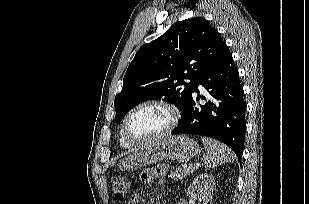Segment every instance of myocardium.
Listing matches in <instances>:
<instances>
[{"instance_id":"1","label":"myocardium","mask_w":309,"mask_h":204,"mask_svg":"<svg viewBox=\"0 0 309 204\" xmlns=\"http://www.w3.org/2000/svg\"><path fill=\"white\" fill-rule=\"evenodd\" d=\"M147 106H159L164 108L168 113H169V122L167 124V126L159 133L150 136L148 138H144V139H133L131 138L128 133H127V124L129 121V118L139 109L147 107ZM179 119H180V112L177 109L176 106H174L173 104L165 101V100H159V99H153V100H146L143 101L139 104H137L136 106H134L124 117V120L122 122V126H121V135L123 137V139L132 146H139V145H144L150 142H153L155 140H158L162 137L167 136L168 134H170L171 132L174 131V129L177 127L178 123H179Z\"/></svg>"}]
</instances>
